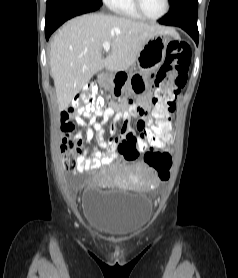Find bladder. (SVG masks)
Returning a JSON list of instances; mask_svg holds the SVG:
<instances>
[{
	"label": "bladder",
	"mask_w": 238,
	"mask_h": 278,
	"mask_svg": "<svg viewBox=\"0 0 238 278\" xmlns=\"http://www.w3.org/2000/svg\"><path fill=\"white\" fill-rule=\"evenodd\" d=\"M84 198V221L92 230L112 238H126L142 231L152 217V203L141 194L124 189L97 193L91 186Z\"/></svg>",
	"instance_id": "bladder-1"
}]
</instances>
